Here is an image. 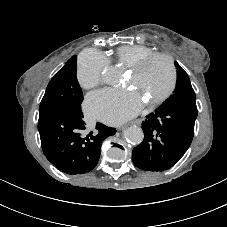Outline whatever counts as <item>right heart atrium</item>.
I'll use <instances>...</instances> for the list:
<instances>
[{
    "instance_id": "d8ad5b80",
    "label": "right heart atrium",
    "mask_w": 227,
    "mask_h": 227,
    "mask_svg": "<svg viewBox=\"0 0 227 227\" xmlns=\"http://www.w3.org/2000/svg\"><path fill=\"white\" fill-rule=\"evenodd\" d=\"M109 60L101 52L94 49L85 50L78 61L77 79L85 89H92L102 83L104 70Z\"/></svg>"
}]
</instances>
